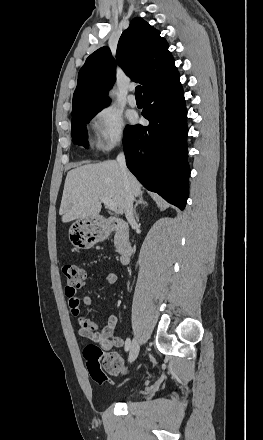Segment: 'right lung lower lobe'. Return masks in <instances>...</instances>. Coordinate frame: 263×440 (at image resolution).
Wrapping results in <instances>:
<instances>
[{
  "label": "right lung lower lobe",
  "mask_w": 263,
  "mask_h": 440,
  "mask_svg": "<svg viewBox=\"0 0 263 440\" xmlns=\"http://www.w3.org/2000/svg\"><path fill=\"white\" fill-rule=\"evenodd\" d=\"M175 71L144 93L148 126H128L123 139L126 163L142 185L181 210L188 198L187 110Z\"/></svg>",
  "instance_id": "obj_1"
}]
</instances>
